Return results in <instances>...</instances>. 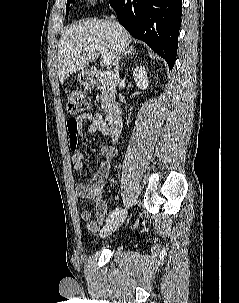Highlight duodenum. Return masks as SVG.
<instances>
[{
    "label": "duodenum",
    "mask_w": 239,
    "mask_h": 303,
    "mask_svg": "<svg viewBox=\"0 0 239 303\" xmlns=\"http://www.w3.org/2000/svg\"><path fill=\"white\" fill-rule=\"evenodd\" d=\"M89 81L97 88L104 89L111 101L110 107L107 110V128L111 135L117 136L122 132L123 117L120 107L112 101L111 93L115 90L118 84V79L113 72H103L92 70L88 74Z\"/></svg>",
    "instance_id": "1"
}]
</instances>
